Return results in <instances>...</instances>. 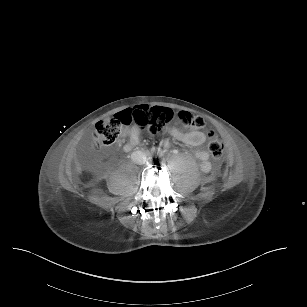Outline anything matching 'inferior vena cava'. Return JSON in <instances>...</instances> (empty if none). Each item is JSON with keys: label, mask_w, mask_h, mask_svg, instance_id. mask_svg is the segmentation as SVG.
<instances>
[{"label": "inferior vena cava", "mask_w": 307, "mask_h": 307, "mask_svg": "<svg viewBox=\"0 0 307 307\" xmlns=\"http://www.w3.org/2000/svg\"><path fill=\"white\" fill-rule=\"evenodd\" d=\"M131 160L138 165H143L147 161L146 153L142 151H134L131 154Z\"/></svg>", "instance_id": "obj_1"}]
</instances>
